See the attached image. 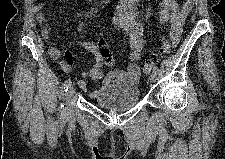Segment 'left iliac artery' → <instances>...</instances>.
Returning a JSON list of instances; mask_svg holds the SVG:
<instances>
[{
  "label": "left iliac artery",
  "instance_id": "left-iliac-artery-1",
  "mask_svg": "<svg viewBox=\"0 0 225 159\" xmlns=\"http://www.w3.org/2000/svg\"><path fill=\"white\" fill-rule=\"evenodd\" d=\"M153 71H154L155 73H158V72H159V69H158L157 67H154Z\"/></svg>",
  "mask_w": 225,
  "mask_h": 159
}]
</instances>
